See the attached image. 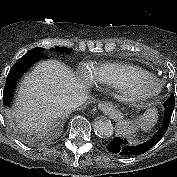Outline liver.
<instances>
[{
  "mask_svg": "<svg viewBox=\"0 0 177 177\" xmlns=\"http://www.w3.org/2000/svg\"><path fill=\"white\" fill-rule=\"evenodd\" d=\"M86 90L85 83L63 63L56 60L39 62L20 83L11 116L25 133L44 132L64 116L61 100Z\"/></svg>",
  "mask_w": 177,
  "mask_h": 177,
  "instance_id": "6515ba94",
  "label": "liver"
}]
</instances>
